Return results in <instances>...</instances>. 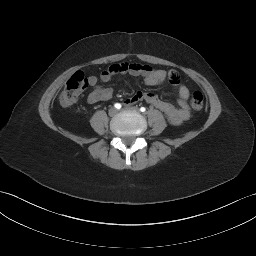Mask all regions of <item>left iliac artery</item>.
Here are the masks:
<instances>
[{"label": "left iliac artery", "instance_id": "obj_1", "mask_svg": "<svg viewBox=\"0 0 256 256\" xmlns=\"http://www.w3.org/2000/svg\"><path fill=\"white\" fill-rule=\"evenodd\" d=\"M140 111H141V112H145V111H146V108H145V107H141V108H140Z\"/></svg>", "mask_w": 256, "mask_h": 256}]
</instances>
